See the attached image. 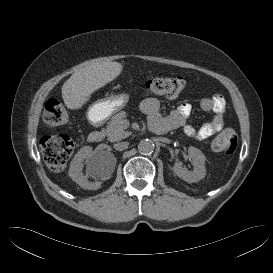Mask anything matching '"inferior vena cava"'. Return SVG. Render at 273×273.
Returning <instances> with one entry per match:
<instances>
[{
    "instance_id": "obj_1",
    "label": "inferior vena cava",
    "mask_w": 273,
    "mask_h": 273,
    "mask_svg": "<svg viewBox=\"0 0 273 273\" xmlns=\"http://www.w3.org/2000/svg\"><path fill=\"white\" fill-rule=\"evenodd\" d=\"M128 146H129L128 142H119V143L114 144V148L118 151H123V150L127 149Z\"/></svg>"
}]
</instances>
